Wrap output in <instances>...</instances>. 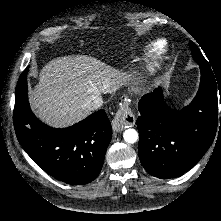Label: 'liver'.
<instances>
[{
    "label": "liver",
    "instance_id": "6515ba94",
    "mask_svg": "<svg viewBox=\"0 0 221 221\" xmlns=\"http://www.w3.org/2000/svg\"><path fill=\"white\" fill-rule=\"evenodd\" d=\"M131 78L90 56L56 58L40 71L31 106L46 123L64 127L91 112L83 107L89 96L115 92Z\"/></svg>",
    "mask_w": 221,
    "mask_h": 221
}]
</instances>
